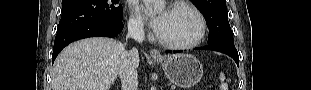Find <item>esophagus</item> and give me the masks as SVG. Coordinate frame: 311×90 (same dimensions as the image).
I'll return each instance as SVG.
<instances>
[{
  "label": "esophagus",
  "instance_id": "1",
  "mask_svg": "<svg viewBox=\"0 0 311 90\" xmlns=\"http://www.w3.org/2000/svg\"><path fill=\"white\" fill-rule=\"evenodd\" d=\"M150 55L154 59H160L161 58L160 51L158 49H155V48L151 50Z\"/></svg>",
  "mask_w": 311,
  "mask_h": 90
}]
</instances>
